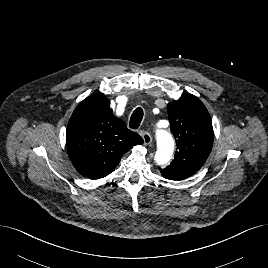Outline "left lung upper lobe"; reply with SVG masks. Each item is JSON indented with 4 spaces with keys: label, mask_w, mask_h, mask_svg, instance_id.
<instances>
[{
    "label": "left lung upper lobe",
    "mask_w": 268,
    "mask_h": 268,
    "mask_svg": "<svg viewBox=\"0 0 268 268\" xmlns=\"http://www.w3.org/2000/svg\"><path fill=\"white\" fill-rule=\"evenodd\" d=\"M167 110L177 150L171 164L159 169L166 179L183 180L197 172L211 152L212 121L204 104L192 94L170 102Z\"/></svg>",
    "instance_id": "obj_1"
}]
</instances>
